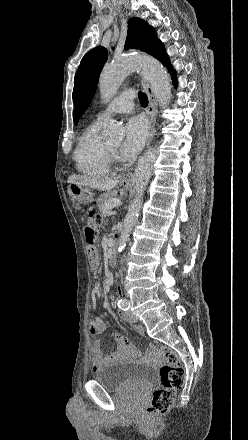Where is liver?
Wrapping results in <instances>:
<instances>
[{
    "label": "liver",
    "instance_id": "obj_1",
    "mask_svg": "<svg viewBox=\"0 0 248 440\" xmlns=\"http://www.w3.org/2000/svg\"><path fill=\"white\" fill-rule=\"evenodd\" d=\"M67 182L69 184L76 183L89 188L98 189L100 191H109L118 185L120 179L118 177L109 178L73 174L68 177Z\"/></svg>",
    "mask_w": 248,
    "mask_h": 440
}]
</instances>
